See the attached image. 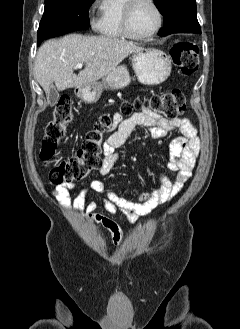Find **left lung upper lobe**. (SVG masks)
I'll return each instance as SVG.
<instances>
[{
    "instance_id": "obj_1",
    "label": "left lung upper lobe",
    "mask_w": 240,
    "mask_h": 329,
    "mask_svg": "<svg viewBox=\"0 0 240 329\" xmlns=\"http://www.w3.org/2000/svg\"><path fill=\"white\" fill-rule=\"evenodd\" d=\"M160 13L164 16L163 29L159 36L172 33H201L196 16L195 0H154Z\"/></svg>"
}]
</instances>
